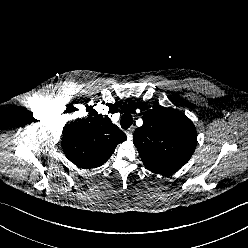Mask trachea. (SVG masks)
I'll return each instance as SVG.
<instances>
[{
	"instance_id": "trachea-1",
	"label": "trachea",
	"mask_w": 248,
	"mask_h": 248,
	"mask_svg": "<svg viewBox=\"0 0 248 248\" xmlns=\"http://www.w3.org/2000/svg\"><path fill=\"white\" fill-rule=\"evenodd\" d=\"M120 123L123 129H128L133 123L132 115L128 112L124 113L121 117Z\"/></svg>"
}]
</instances>
